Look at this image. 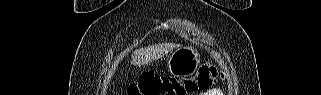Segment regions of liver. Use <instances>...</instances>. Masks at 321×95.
<instances>
[{
	"instance_id": "liver-1",
	"label": "liver",
	"mask_w": 321,
	"mask_h": 95,
	"mask_svg": "<svg viewBox=\"0 0 321 95\" xmlns=\"http://www.w3.org/2000/svg\"><path fill=\"white\" fill-rule=\"evenodd\" d=\"M176 47H181L180 44L162 43L137 49L132 55V64L135 66L145 65L153 60L163 57Z\"/></svg>"
}]
</instances>
